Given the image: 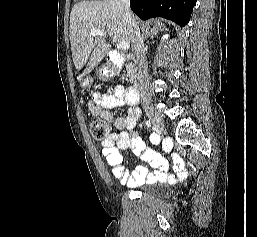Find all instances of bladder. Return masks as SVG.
Listing matches in <instances>:
<instances>
[{"label": "bladder", "instance_id": "obj_1", "mask_svg": "<svg viewBox=\"0 0 257 237\" xmlns=\"http://www.w3.org/2000/svg\"><path fill=\"white\" fill-rule=\"evenodd\" d=\"M144 184H152V183H144Z\"/></svg>", "mask_w": 257, "mask_h": 237}]
</instances>
